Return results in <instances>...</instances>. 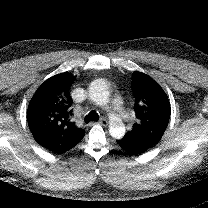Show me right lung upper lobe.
<instances>
[{"mask_svg": "<svg viewBox=\"0 0 208 208\" xmlns=\"http://www.w3.org/2000/svg\"><path fill=\"white\" fill-rule=\"evenodd\" d=\"M75 78L64 72L47 79L28 106L27 120L34 139L54 153L72 146L85 135V131L71 120L70 87Z\"/></svg>", "mask_w": 208, "mask_h": 208, "instance_id": "1", "label": "right lung upper lobe"}]
</instances>
